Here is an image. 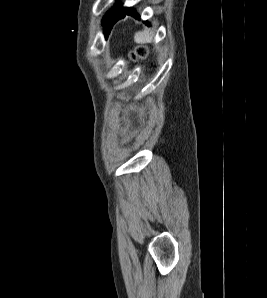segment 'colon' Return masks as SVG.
<instances>
[{
    "instance_id": "1",
    "label": "colon",
    "mask_w": 267,
    "mask_h": 298,
    "mask_svg": "<svg viewBox=\"0 0 267 298\" xmlns=\"http://www.w3.org/2000/svg\"><path fill=\"white\" fill-rule=\"evenodd\" d=\"M146 49L144 47H137L130 53V58L135 60L145 56Z\"/></svg>"
}]
</instances>
